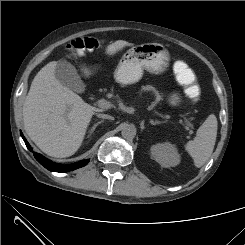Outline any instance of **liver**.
<instances>
[{
	"mask_svg": "<svg viewBox=\"0 0 245 245\" xmlns=\"http://www.w3.org/2000/svg\"><path fill=\"white\" fill-rule=\"evenodd\" d=\"M132 45L117 40L107 46L106 54L113 56ZM56 65V61L49 62L34 77L23 103V121L27 135L44 153L64 158L79 149L98 109L57 80ZM81 70L88 78L96 68L83 65Z\"/></svg>",
	"mask_w": 245,
	"mask_h": 245,
	"instance_id": "obj_1",
	"label": "liver"
}]
</instances>
